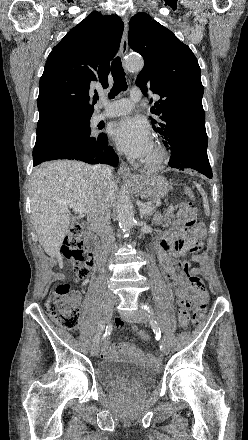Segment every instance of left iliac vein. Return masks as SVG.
I'll list each match as a JSON object with an SVG mask.
<instances>
[{"mask_svg": "<svg viewBox=\"0 0 248 440\" xmlns=\"http://www.w3.org/2000/svg\"><path fill=\"white\" fill-rule=\"evenodd\" d=\"M121 316L128 322H134V323H145L147 322L148 318L146 313L142 311H136L132 313H122ZM163 354H168L169 352V346L167 341L164 339V344L161 349Z\"/></svg>", "mask_w": 248, "mask_h": 440, "instance_id": "obj_1", "label": "left iliac vein"}]
</instances>
